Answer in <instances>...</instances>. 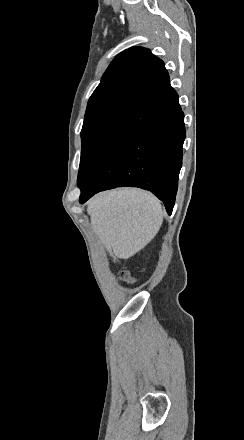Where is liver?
Returning a JSON list of instances; mask_svg holds the SVG:
<instances>
[{
    "label": "liver",
    "mask_w": 244,
    "mask_h": 440,
    "mask_svg": "<svg viewBox=\"0 0 244 440\" xmlns=\"http://www.w3.org/2000/svg\"><path fill=\"white\" fill-rule=\"evenodd\" d=\"M87 214L113 262H118V258L128 260L143 250L163 222L159 200L138 188L97 194L87 202Z\"/></svg>",
    "instance_id": "liver-1"
}]
</instances>
